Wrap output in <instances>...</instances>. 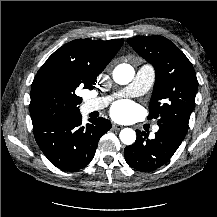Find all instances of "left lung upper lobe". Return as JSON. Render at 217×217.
<instances>
[{"instance_id":"1","label":"left lung upper lobe","mask_w":217,"mask_h":217,"mask_svg":"<svg viewBox=\"0 0 217 217\" xmlns=\"http://www.w3.org/2000/svg\"><path fill=\"white\" fill-rule=\"evenodd\" d=\"M127 41L155 69L148 118H158V125L169 124L187 132L198 86L191 62L162 36L135 37Z\"/></svg>"}]
</instances>
